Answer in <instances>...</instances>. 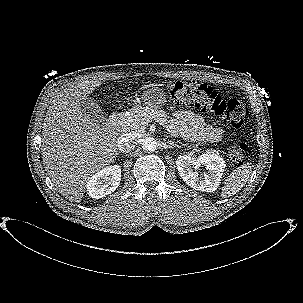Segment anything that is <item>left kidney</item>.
<instances>
[{
    "label": "left kidney",
    "mask_w": 303,
    "mask_h": 303,
    "mask_svg": "<svg viewBox=\"0 0 303 303\" xmlns=\"http://www.w3.org/2000/svg\"><path fill=\"white\" fill-rule=\"evenodd\" d=\"M202 165L205 166L207 173L200 176L196 169ZM176 166L180 177L190 187L200 191L213 192L220 184L226 164L223 158L215 154L204 153L198 157L179 156Z\"/></svg>",
    "instance_id": "obj_1"
}]
</instances>
